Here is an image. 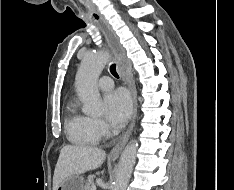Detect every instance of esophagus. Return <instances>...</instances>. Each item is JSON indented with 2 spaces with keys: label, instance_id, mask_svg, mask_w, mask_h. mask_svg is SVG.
Returning <instances> with one entry per match:
<instances>
[{
  "label": "esophagus",
  "instance_id": "obj_1",
  "mask_svg": "<svg viewBox=\"0 0 234 190\" xmlns=\"http://www.w3.org/2000/svg\"><path fill=\"white\" fill-rule=\"evenodd\" d=\"M99 25H100L102 32L105 35V38L108 42V45L110 46L111 50L113 51V53L115 55V59H116L117 63H119L121 60H123L125 58V52H124L122 45L119 42V38L117 37V35L115 34V32L113 31L111 26L106 21L100 20ZM120 68L122 70H124L123 77H124V80L131 91L132 101H133V109H132L131 122H130L128 129L122 135V137L119 139L118 143L113 147V149L111 150V152L109 154V157L113 158V159L118 158L122 149L124 148L128 139L130 138L132 130H133L134 125H135L136 116H137V92H136V86H135V82L133 80L131 70L128 68H125L124 65L120 66Z\"/></svg>",
  "mask_w": 234,
  "mask_h": 190
}]
</instances>
